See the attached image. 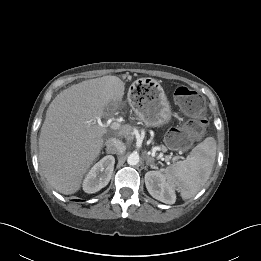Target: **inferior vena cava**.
<instances>
[{
  "label": "inferior vena cava",
  "mask_w": 261,
  "mask_h": 261,
  "mask_svg": "<svg viewBox=\"0 0 261 261\" xmlns=\"http://www.w3.org/2000/svg\"><path fill=\"white\" fill-rule=\"evenodd\" d=\"M106 151L112 154H122L126 150V146L123 142L115 138H109L105 142Z\"/></svg>",
  "instance_id": "1"
}]
</instances>
